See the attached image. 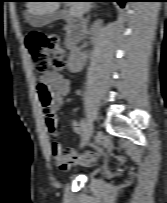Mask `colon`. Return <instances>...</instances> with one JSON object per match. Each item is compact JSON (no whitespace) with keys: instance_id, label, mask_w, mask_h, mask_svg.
Instances as JSON below:
<instances>
[{"instance_id":"colon-1","label":"colon","mask_w":167,"mask_h":203,"mask_svg":"<svg viewBox=\"0 0 167 203\" xmlns=\"http://www.w3.org/2000/svg\"><path fill=\"white\" fill-rule=\"evenodd\" d=\"M26 48L31 57L33 67L38 72L62 70L66 66L65 52L57 38L44 37L38 33L30 34L26 39ZM38 94L44 110L49 107L53 94L44 81L37 85Z\"/></svg>"}]
</instances>
